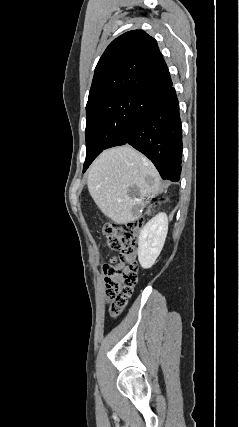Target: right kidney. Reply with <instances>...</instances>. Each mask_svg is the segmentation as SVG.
<instances>
[{"mask_svg": "<svg viewBox=\"0 0 239 427\" xmlns=\"http://www.w3.org/2000/svg\"><path fill=\"white\" fill-rule=\"evenodd\" d=\"M168 232V217L159 213L141 230L138 240V260L144 269L151 268L158 258Z\"/></svg>", "mask_w": 239, "mask_h": 427, "instance_id": "1", "label": "right kidney"}]
</instances>
